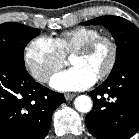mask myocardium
<instances>
[{"label": "myocardium", "mask_w": 139, "mask_h": 139, "mask_svg": "<svg viewBox=\"0 0 139 139\" xmlns=\"http://www.w3.org/2000/svg\"><path fill=\"white\" fill-rule=\"evenodd\" d=\"M102 43H105L109 46L110 57L106 67L98 75L97 77L98 80H104L105 78H107L113 72L116 66L118 59V47L114 39L109 36L100 35L84 43L73 52V55L88 54L93 50H95Z\"/></svg>", "instance_id": "obj_1"}]
</instances>
